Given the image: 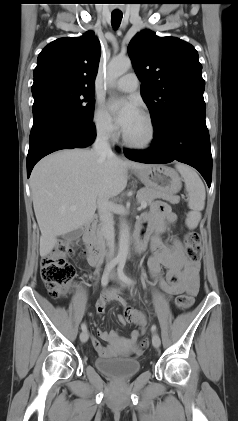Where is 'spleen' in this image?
I'll list each match as a JSON object with an SVG mask.
<instances>
[{"instance_id":"spleen-1","label":"spleen","mask_w":238,"mask_h":421,"mask_svg":"<svg viewBox=\"0 0 238 421\" xmlns=\"http://www.w3.org/2000/svg\"><path fill=\"white\" fill-rule=\"evenodd\" d=\"M175 167L181 174L188 193L190 212L187 214L186 225L189 229H195L201 220V211L205 207V186L197 172L191 167L180 163H177Z\"/></svg>"}]
</instances>
